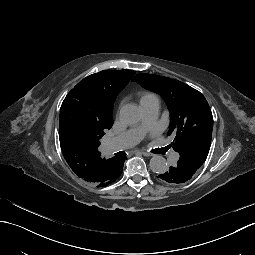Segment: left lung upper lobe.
Masks as SVG:
<instances>
[{
    "label": "left lung upper lobe",
    "mask_w": 255,
    "mask_h": 255,
    "mask_svg": "<svg viewBox=\"0 0 255 255\" xmlns=\"http://www.w3.org/2000/svg\"><path fill=\"white\" fill-rule=\"evenodd\" d=\"M132 81L165 100L171 117L168 135L173 134V149L180 154L177 164L192 177L205 162L211 145L213 117L205 97L196 89L163 76L140 73Z\"/></svg>",
    "instance_id": "obj_1"
}]
</instances>
